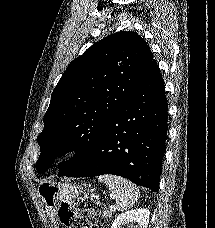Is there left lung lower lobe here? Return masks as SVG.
<instances>
[{"instance_id":"left-lung-lower-lobe-1","label":"left lung lower lobe","mask_w":215,"mask_h":228,"mask_svg":"<svg viewBox=\"0 0 215 228\" xmlns=\"http://www.w3.org/2000/svg\"><path fill=\"white\" fill-rule=\"evenodd\" d=\"M167 116L164 81L153 60L142 82L107 123L94 146L64 175L113 174L158 192Z\"/></svg>"}]
</instances>
